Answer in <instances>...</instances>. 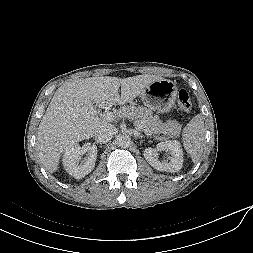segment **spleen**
Segmentation results:
<instances>
[{"label":"spleen","instance_id":"3e777b00","mask_svg":"<svg viewBox=\"0 0 253 253\" xmlns=\"http://www.w3.org/2000/svg\"><path fill=\"white\" fill-rule=\"evenodd\" d=\"M182 141L192 161L197 163L203 153L205 143V126L201 114L194 116L183 129Z\"/></svg>","mask_w":253,"mask_h":253}]
</instances>
